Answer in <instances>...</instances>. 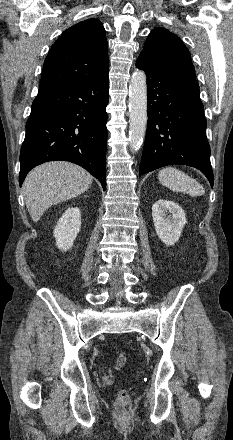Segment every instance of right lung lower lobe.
Listing matches in <instances>:
<instances>
[{
	"label": "right lung lower lobe",
	"instance_id": "98d812e1",
	"mask_svg": "<svg viewBox=\"0 0 233 440\" xmlns=\"http://www.w3.org/2000/svg\"><path fill=\"white\" fill-rule=\"evenodd\" d=\"M108 82L106 72L74 86L39 91L21 147L20 186L33 167L64 160L85 168L105 190Z\"/></svg>",
	"mask_w": 233,
	"mask_h": 440
}]
</instances>
